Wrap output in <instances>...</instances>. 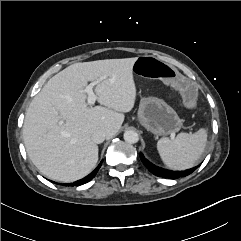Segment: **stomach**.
<instances>
[{"instance_id": "0dacf381", "label": "stomach", "mask_w": 241, "mask_h": 241, "mask_svg": "<svg viewBox=\"0 0 241 241\" xmlns=\"http://www.w3.org/2000/svg\"><path fill=\"white\" fill-rule=\"evenodd\" d=\"M138 122L156 136L172 135L182 127L181 119L176 111L164 100L157 97L141 99Z\"/></svg>"}]
</instances>
